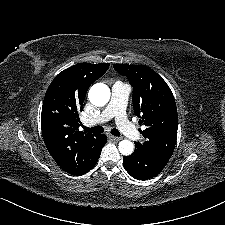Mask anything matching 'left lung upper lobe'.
<instances>
[{
    "label": "left lung upper lobe",
    "mask_w": 225,
    "mask_h": 225,
    "mask_svg": "<svg viewBox=\"0 0 225 225\" xmlns=\"http://www.w3.org/2000/svg\"><path fill=\"white\" fill-rule=\"evenodd\" d=\"M119 73L128 77L133 86L135 114L146 141L135 145L147 153L169 160L176 144L178 115L174 96L163 78L151 68L140 65L114 64Z\"/></svg>",
    "instance_id": "1"
}]
</instances>
